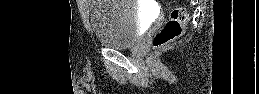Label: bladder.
<instances>
[{
	"instance_id": "31cf9c89",
	"label": "bladder",
	"mask_w": 259,
	"mask_h": 94,
	"mask_svg": "<svg viewBox=\"0 0 259 94\" xmlns=\"http://www.w3.org/2000/svg\"><path fill=\"white\" fill-rule=\"evenodd\" d=\"M90 24L94 36L102 45L127 49L141 36V10L132 0L90 1Z\"/></svg>"
}]
</instances>
